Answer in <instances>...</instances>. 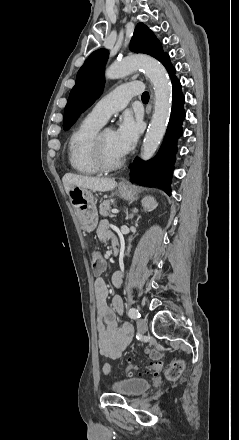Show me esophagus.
Returning a JSON list of instances; mask_svg holds the SVG:
<instances>
[{
	"label": "esophagus",
	"mask_w": 239,
	"mask_h": 440,
	"mask_svg": "<svg viewBox=\"0 0 239 440\" xmlns=\"http://www.w3.org/2000/svg\"><path fill=\"white\" fill-rule=\"evenodd\" d=\"M151 96H152V102H153V94H151ZM126 184H128L127 180L122 179L120 182V185H126Z\"/></svg>",
	"instance_id": "34e87169"
}]
</instances>
